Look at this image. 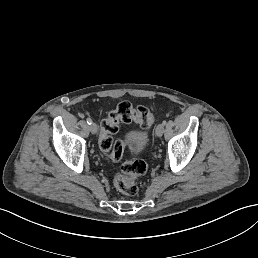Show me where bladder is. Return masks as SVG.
<instances>
[{"instance_id": "1", "label": "bladder", "mask_w": 258, "mask_h": 258, "mask_svg": "<svg viewBox=\"0 0 258 258\" xmlns=\"http://www.w3.org/2000/svg\"><path fill=\"white\" fill-rule=\"evenodd\" d=\"M128 139L133 149L141 151L147 143V134L143 131H132Z\"/></svg>"}]
</instances>
